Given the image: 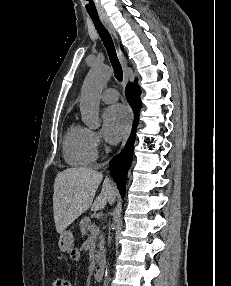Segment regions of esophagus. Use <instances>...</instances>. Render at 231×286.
Segmentation results:
<instances>
[{"mask_svg": "<svg viewBox=\"0 0 231 286\" xmlns=\"http://www.w3.org/2000/svg\"><path fill=\"white\" fill-rule=\"evenodd\" d=\"M100 18L102 20V22L104 23V25L107 27V29L110 31V33L113 35V37L115 38V40L117 41L118 43V36H117V33L113 27V25L111 24L110 20L108 19V17L106 15H100ZM117 52H118V56H119V59H120V62H121V65L124 69V79H125V83H127V80H128V74H127V60L123 54V52L121 51L119 45L117 47ZM128 117H129V120H128V128H127V132H126V135H125V138L123 140V143H122V148L125 146L126 144V141L131 133V129H132V125H133V111L132 109L129 107L128 108Z\"/></svg>", "mask_w": 231, "mask_h": 286, "instance_id": "obj_1", "label": "esophagus"}]
</instances>
